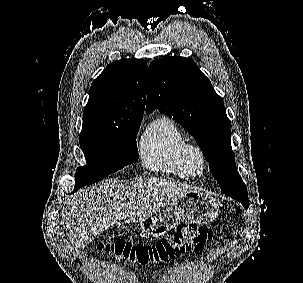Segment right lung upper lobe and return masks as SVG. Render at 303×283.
I'll list each match as a JSON object with an SVG mask.
<instances>
[{
	"instance_id": "cb5924a9",
	"label": "right lung upper lobe",
	"mask_w": 303,
	"mask_h": 283,
	"mask_svg": "<svg viewBox=\"0 0 303 283\" xmlns=\"http://www.w3.org/2000/svg\"><path fill=\"white\" fill-rule=\"evenodd\" d=\"M147 64L142 59L114 61L93 81L83 113L84 128L141 121L146 100Z\"/></svg>"
}]
</instances>
